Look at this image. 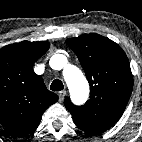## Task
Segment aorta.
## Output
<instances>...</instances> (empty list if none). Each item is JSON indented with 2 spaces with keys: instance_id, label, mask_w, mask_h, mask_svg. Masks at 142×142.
I'll list each match as a JSON object with an SVG mask.
<instances>
[{
  "instance_id": "aorta-1",
  "label": "aorta",
  "mask_w": 142,
  "mask_h": 142,
  "mask_svg": "<svg viewBox=\"0 0 142 142\" xmlns=\"http://www.w3.org/2000/svg\"><path fill=\"white\" fill-rule=\"evenodd\" d=\"M58 68L63 69L64 79L69 87L71 97L78 103H84L89 96V85L81 70L68 64L64 55H56Z\"/></svg>"
}]
</instances>
